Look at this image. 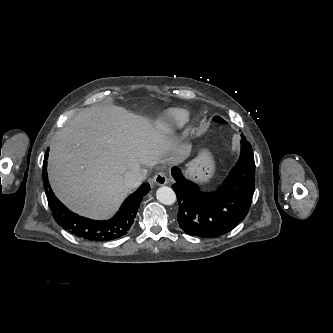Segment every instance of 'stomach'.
<instances>
[{"label":"stomach","instance_id":"obj_1","mask_svg":"<svg viewBox=\"0 0 333 333\" xmlns=\"http://www.w3.org/2000/svg\"><path fill=\"white\" fill-rule=\"evenodd\" d=\"M215 165L211 153L207 149L187 164L186 174L199 183L207 182L214 174Z\"/></svg>","mask_w":333,"mask_h":333}]
</instances>
